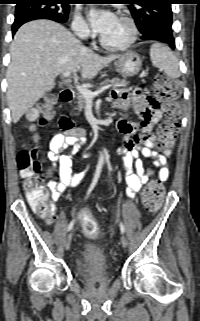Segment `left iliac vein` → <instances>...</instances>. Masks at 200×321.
<instances>
[{"label":"left iliac vein","instance_id":"1","mask_svg":"<svg viewBox=\"0 0 200 321\" xmlns=\"http://www.w3.org/2000/svg\"><path fill=\"white\" fill-rule=\"evenodd\" d=\"M121 244L123 247H126L128 245V240L125 236L121 238Z\"/></svg>","mask_w":200,"mask_h":321}]
</instances>
